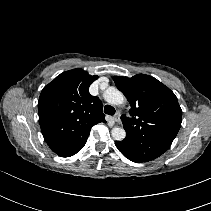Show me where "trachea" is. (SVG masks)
Segmentation results:
<instances>
[{
  "mask_svg": "<svg viewBox=\"0 0 211 211\" xmlns=\"http://www.w3.org/2000/svg\"><path fill=\"white\" fill-rule=\"evenodd\" d=\"M104 113L108 115H114L115 114V108L111 105H106L104 107Z\"/></svg>",
  "mask_w": 211,
  "mask_h": 211,
  "instance_id": "3493384b",
  "label": "trachea"
}]
</instances>
